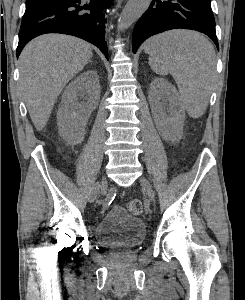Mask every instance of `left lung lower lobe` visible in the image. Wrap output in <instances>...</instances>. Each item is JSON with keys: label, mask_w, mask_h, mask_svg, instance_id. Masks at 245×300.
Returning a JSON list of instances; mask_svg holds the SVG:
<instances>
[{"label": "left lung lower lobe", "mask_w": 245, "mask_h": 300, "mask_svg": "<svg viewBox=\"0 0 245 300\" xmlns=\"http://www.w3.org/2000/svg\"><path fill=\"white\" fill-rule=\"evenodd\" d=\"M176 28L202 32L219 49L211 0H153L134 27L133 53L148 37Z\"/></svg>", "instance_id": "obj_1"}]
</instances>
